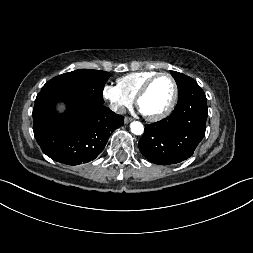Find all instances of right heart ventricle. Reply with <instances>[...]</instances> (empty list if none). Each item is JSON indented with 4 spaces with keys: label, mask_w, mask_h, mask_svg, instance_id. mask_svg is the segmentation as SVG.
<instances>
[{
    "label": "right heart ventricle",
    "mask_w": 253,
    "mask_h": 253,
    "mask_svg": "<svg viewBox=\"0 0 253 253\" xmlns=\"http://www.w3.org/2000/svg\"><path fill=\"white\" fill-rule=\"evenodd\" d=\"M158 72H134L117 79L118 88L130 99H134L140 88Z\"/></svg>",
    "instance_id": "right-heart-ventricle-1"
}]
</instances>
